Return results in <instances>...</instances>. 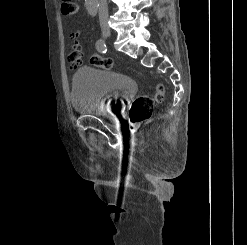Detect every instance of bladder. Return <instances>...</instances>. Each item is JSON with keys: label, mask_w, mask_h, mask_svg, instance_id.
<instances>
[{"label": "bladder", "mask_w": 247, "mask_h": 245, "mask_svg": "<svg viewBox=\"0 0 247 245\" xmlns=\"http://www.w3.org/2000/svg\"><path fill=\"white\" fill-rule=\"evenodd\" d=\"M136 88L135 80L124 73L82 67L73 75L72 106L81 114L107 116L117 113Z\"/></svg>", "instance_id": "31cf9c89"}]
</instances>
